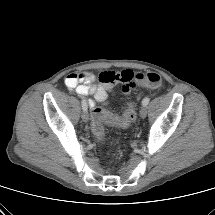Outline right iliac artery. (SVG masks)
Masks as SVG:
<instances>
[{"mask_svg":"<svg viewBox=\"0 0 215 215\" xmlns=\"http://www.w3.org/2000/svg\"><path fill=\"white\" fill-rule=\"evenodd\" d=\"M82 109L87 110V103L85 99H82Z\"/></svg>","mask_w":215,"mask_h":215,"instance_id":"82829eb1","label":"right iliac artery"}]
</instances>
